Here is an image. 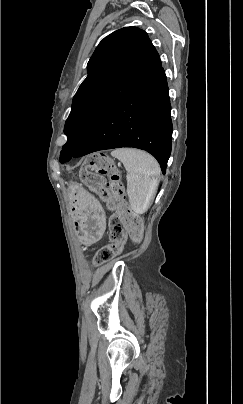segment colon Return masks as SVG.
<instances>
[{"instance_id": "5ec220e1", "label": "colon", "mask_w": 243, "mask_h": 404, "mask_svg": "<svg viewBox=\"0 0 243 404\" xmlns=\"http://www.w3.org/2000/svg\"><path fill=\"white\" fill-rule=\"evenodd\" d=\"M103 174L109 175L110 184L105 182ZM80 179L89 190L100 196L109 209L115 211L109 219L111 242L102 247L94 258L95 264L101 265L118 255L128 238L133 242L141 240L143 222L125 202L120 176L107 156H91L81 169Z\"/></svg>"}]
</instances>
